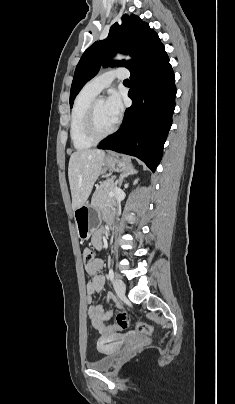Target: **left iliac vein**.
Wrapping results in <instances>:
<instances>
[{
    "instance_id": "obj_1",
    "label": "left iliac vein",
    "mask_w": 235,
    "mask_h": 404,
    "mask_svg": "<svg viewBox=\"0 0 235 404\" xmlns=\"http://www.w3.org/2000/svg\"><path fill=\"white\" fill-rule=\"evenodd\" d=\"M113 287H114V290H115L116 294L119 297L124 296V294H125V285H124V282L121 279L115 278V280L113 282Z\"/></svg>"
}]
</instances>
